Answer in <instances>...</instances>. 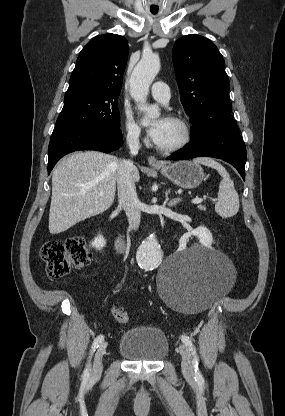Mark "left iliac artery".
<instances>
[{"mask_svg": "<svg viewBox=\"0 0 285 416\" xmlns=\"http://www.w3.org/2000/svg\"><path fill=\"white\" fill-rule=\"evenodd\" d=\"M181 339H182L183 343L188 347V349H189V351H190V353L193 357L192 364H193V368H194V372H195V379L196 380H203V376H202V374L199 370V358L197 356L195 346L193 345L191 339L188 336L182 335Z\"/></svg>", "mask_w": 285, "mask_h": 416, "instance_id": "obj_1", "label": "left iliac artery"}]
</instances>
